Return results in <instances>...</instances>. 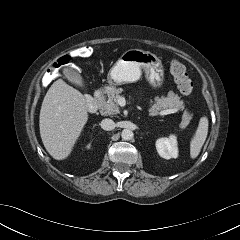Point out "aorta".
<instances>
[{"mask_svg":"<svg viewBox=\"0 0 240 240\" xmlns=\"http://www.w3.org/2000/svg\"><path fill=\"white\" fill-rule=\"evenodd\" d=\"M121 137L123 140H130L133 138V132L132 130L130 129H124L122 132H121Z\"/></svg>","mask_w":240,"mask_h":240,"instance_id":"1","label":"aorta"}]
</instances>
